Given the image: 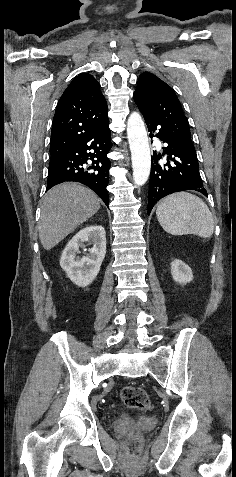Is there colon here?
<instances>
[{
    "label": "colon",
    "instance_id": "obj_1",
    "mask_svg": "<svg viewBox=\"0 0 236 477\" xmlns=\"http://www.w3.org/2000/svg\"><path fill=\"white\" fill-rule=\"evenodd\" d=\"M121 401L130 408L145 411L150 407V400L146 392L137 386H125L120 391ZM128 451L135 455L138 452L139 440L134 437L128 439Z\"/></svg>",
    "mask_w": 236,
    "mask_h": 477
}]
</instances>
